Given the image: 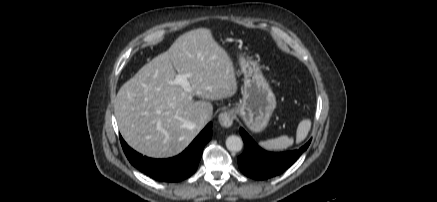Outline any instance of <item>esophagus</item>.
I'll return each instance as SVG.
<instances>
[{
	"instance_id": "esophagus-1",
	"label": "esophagus",
	"mask_w": 437,
	"mask_h": 202,
	"mask_svg": "<svg viewBox=\"0 0 437 202\" xmlns=\"http://www.w3.org/2000/svg\"><path fill=\"white\" fill-rule=\"evenodd\" d=\"M234 117L233 111L227 110L219 114L218 121L221 126L228 128L233 124Z\"/></svg>"
}]
</instances>
